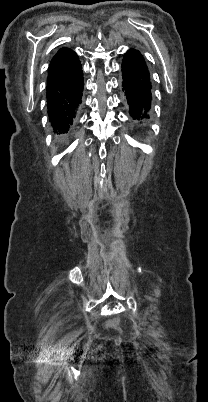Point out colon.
<instances>
[{
    "mask_svg": "<svg viewBox=\"0 0 208 402\" xmlns=\"http://www.w3.org/2000/svg\"><path fill=\"white\" fill-rule=\"evenodd\" d=\"M106 324L108 327H117L119 324V321L117 318H108L106 321Z\"/></svg>",
    "mask_w": 208,
    "mask_h": 402,
    "instance_id": "5ec220e1",
    "label": "colon"
}]
</instances>
